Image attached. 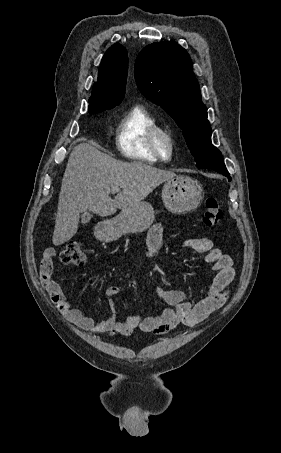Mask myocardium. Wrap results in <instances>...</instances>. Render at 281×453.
<instances>
[{"mask_svg": "<svg viewBox=\"0 0 281 453\" xmlns=\"http://www.w3.org/2000/svg\"><path fill=\"white\" fill-rule=\"evenodd\" d=\"M150 146L157 158L163 162L171 161L175 154V138L172 133L156 127L150 135Z\"/></svg>", "mask_w": 281, "mask_h": 453, "instance_id": "1", "label": "myocardium"}]
</instances>
